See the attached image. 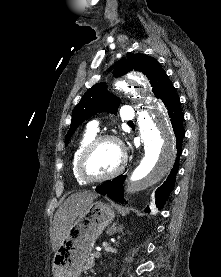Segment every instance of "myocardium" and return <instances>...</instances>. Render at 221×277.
Masks as SVG:
<instances>
[{"instance_id":"obj_1","label":"myocardium","mask_w":221,"mask_h":277,"mask_svg":"<svg viewBox=\"0 0 221 277\" xmlns=\"http://www.w3.org/2000/svg\"><path fill=\"white\" fill-rule=\"evenodd\" d=\"M104 142H113L115 143L119 150H120V162L118 164V166L110 173L103 175V176H99V177H92L89 176L86 172H85V162L86 159L88 158V156L91 154V152L97 148L100 144L104 143ZM127 162V154H126V150L125 147L122 143V141L114 135H110V134H104V135H100L95 137L81 152L78 161H77V165H76V169H77V174L78 176L87 183H97V182H102V181H106L109 179H112L114 177H116L117 175H119L122 170L124 169L125 165Z\"/></svg>"}]
</instances>
